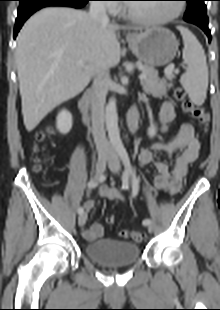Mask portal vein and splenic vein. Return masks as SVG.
<instances>
[{"label":"portal vein and splenic vein","instance_id":"portal-vein-and-splenic-vein-1","mask_svg":"<svg viewBox=\"0 0 220 310\" xmlns=\"http://www.w3.org/2000/svg\"><path fill=\"white\" fill-rule=\"evenodd\" d=\"M174 68H175V65L174 64H172V65H170L169 67H167L166 68V70H165V72H172V71H174ZM146 77H147V75L145 74V73H141L140 75H139V79L142 81V80H144V79H146Z\"/></svg>","mask_w":220,"mask_h":310}]
</instances>
